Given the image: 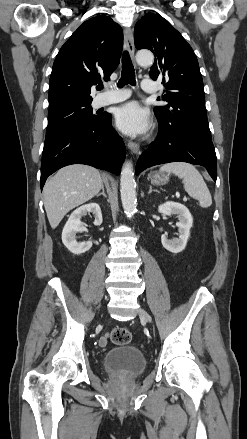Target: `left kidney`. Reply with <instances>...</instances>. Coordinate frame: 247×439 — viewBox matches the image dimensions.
Wrapping results in <instances>:
<instances>
[{"instance_id": "5707ae66", "label": "left kidney", "mask_w": 247, "mask_h": 439, "mask_svg": "<svg viewBox=\"0 0 247 439\" xmlns=\"http://www.w3.org/2000/svg\"><path fill=\"white\" fill-rule=\"evenodd\" d=\"M158 212L168 216L177 215L178 217L176 226L178 227L179 238L169 240L165 235H162L161 242L163 247L174 254L183 251L193 225V217L188 208L180 203L168 201L159 205Z\"/></svg>"}]
</instances>
